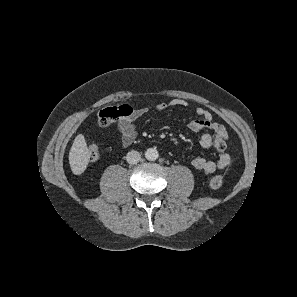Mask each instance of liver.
Masks as SVG:
<instances>
[{
  "label": "liver",
  "instance_id": "liver-1",
  "mask_svg": "<svg viewBox=\"0 0 297 297\" xmlns=\"http://www.w3.org/2000/svg\"><path fill=\"white\" fill-rule=\"evenodd\" d=\"M90 153L82 134H78L69 152V164L74 174L83 173L89 163Z\"/></svg>",
  "mask_w": 297,
  "mask_h": 297
}]
</instances>
